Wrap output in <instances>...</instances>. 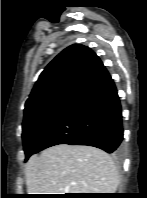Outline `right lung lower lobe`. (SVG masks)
Wrapping results in <instances>:
<instances>
[{
  "instance_id": "right-lung-lower-lobe-1",
  "label": "right lung lower lobe",
  "mask_w": 147,
  "mask_h": 198,
  "mask_svg": "<svg viewBox=\"0 0 147 198\" xmlns=\"http://www.w3.org/2000/svg\"><path fill=\"white\" fill-rule=\"evenodd\" d=\"M123 140L122 111L115 84L108 74L75 102L41 140L37 153L58 144L89 145L115 155Z\"/></svg>"
}]
</instances>
